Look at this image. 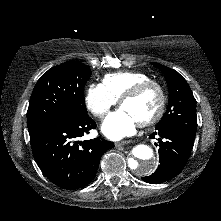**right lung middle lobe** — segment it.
<instances>
[{"mask_svg":"<svg viewBox=\"0 0 221 221\" xmlns=\"http://www.w3.org/2000/svg\"><path fill=\"white\" fill-rule=\"evenodd\" d=\"M91 70L78 61L49 69L36 83L27 111L29 133L53 126L78 113H87L84 86Z\"/></svg>","mask_w":221,"mask_h":221,"instance_id":"dd1d6c3e","label":"right lung middle lobe"}]
</instances>
